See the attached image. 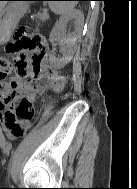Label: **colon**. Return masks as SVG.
<instances>
[{"label":"colon","mask_w":137,"mask_h":189,"mask_svg":"<svg viewBox=\"0 0 137 189\" xmlns=\"http://www.w3.org/2000/svg\"><path fill=\"white\" fill-rule=\"evenodd\" d=\"M47 49V43L41 35L18 31L7 46L10 57L0 56V96L4 94L14 68L27 80L38 79L41 75L51 77L53 69L50 66L44 70L41 68ZM25 51L31 53L30 59L24 56ZM35 113V106L26 99L19 103L16 110L17 118H25L30 114L34 117Z\"/></svg>","instance_id":"1"}]
</instances>
